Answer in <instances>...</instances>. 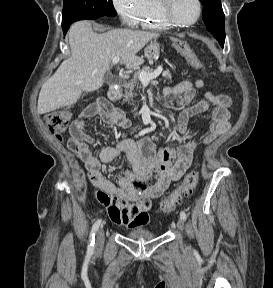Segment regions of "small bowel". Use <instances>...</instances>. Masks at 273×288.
<instances>
[{
	"mask_svg": "<svg viewBox=\"0 0 273 288\" xmlns=\"http://www.w3.org/2000/svg\"><path fill=\"white\" fill-rule=\"evenodd\" d=\"M197 91L204 99L195 101ZM163 94L182 108L177 130L184 135L189 119L211 109V124L199 138L191 139L176 148L156 149L149 137L135 141L122 139L115 146L104 148L99 157L91 150L94 140L86 133V121L94 116L119 129L131 126L123 111L114 109L104 101L88 105L70 128L68 148L84 163L88 179L96 188L95 196L107 210L112 222L126 227H142L149 221L151 200L160 197L174 181L182 178L189 169L193 152L198 144L208 145L224 135L230 128L232 100L223 94L206 90L203 80L183 81L166 87ZM125 154L131 167L118 178L103 173L102 165Z\"/></svg>",
	"mask_w": 273,
	"mask_h": 288,
	"instance_id": "1",
	"label": "small bowel"
}]
</instances>
